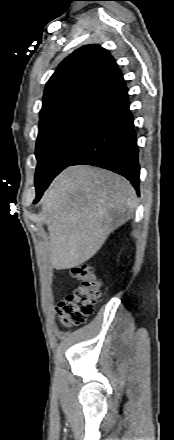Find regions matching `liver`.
Masks as SVG:
<instances>
[{"mask_svg":"<svg viewBox=\"0 0 174 440\" xmlns=\"http://www.w3.org/2000/svg\"><path fill=\"white\" fill-rule=\"evenodd\" d=\"M41 201L49 232L50 262L59 270L92 258L137 207L136 192L124 177L84 165L62 171Z\"/></svg>","mask_w":174,"mask_h":440,"instance_id":"6515ba94","label":"liver"}]
</instances>
